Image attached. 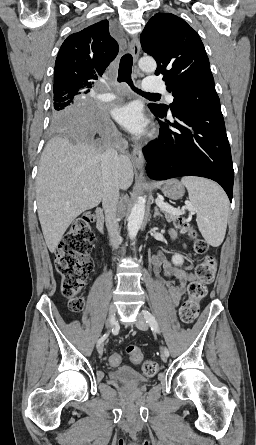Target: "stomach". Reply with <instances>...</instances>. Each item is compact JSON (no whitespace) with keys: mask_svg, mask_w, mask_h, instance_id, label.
Instances as JSON below:
<instances>
[{"mask_svg":"<svg viewBox=\"0 0 256 445\" xmlns=\"http://www.w3.org/2000/svg\"><path fill=\"white\" fill-rule=\"evenodd\" d=\"M163 194L172 200H178L184 195V186L177 179H171L165 182L161 188Z\"/></svg>","mask_w":256,"mask_h":445,"instance_id":"0dacf381","label":"stomach"}]
</instances>
